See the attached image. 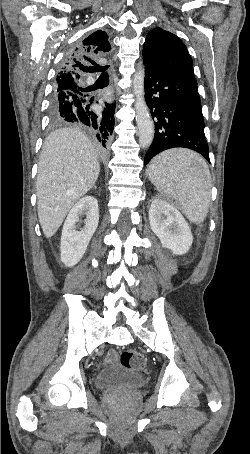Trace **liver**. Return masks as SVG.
<instances>
[{
    "label": "liver",
    "mask_w": 250,
    "mask_h": 454,
    "mask_svg": "<svg viewBox=\"0 0 250 454\" xmlns=\"http://www.w3.org/2000/svg\"><path fill=\"white\" fill-rule=\"evenodd\" d=\"M100 172L95 146L81 131L60 128L45 140L36 182L38 218L51 238L71 207L95 185Z\"/></svg>",
    "instance_id": "liver-1"
}]
</instances>
